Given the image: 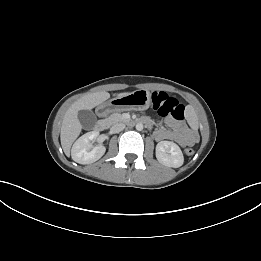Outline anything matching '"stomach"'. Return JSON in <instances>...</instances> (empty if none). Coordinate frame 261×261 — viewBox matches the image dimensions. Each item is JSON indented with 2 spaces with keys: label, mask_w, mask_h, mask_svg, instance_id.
<instances>
[{
  "label": "stomach",
  "mask_w": 261,
  "mask_h": 261,
  "mask_svg": "<svg viewBox=\"0 0 261 261\" xmlns=\"http://www.w3.org/2000/svg\"><path fill=\"white\" fill-rule=\"evenodd\" d=\"M151 104V93L146 89H140L123 96L104 102L98 109L106 115L117 111L146 110Z\"/></svg>",
  "instance_id": "1"
}]
</instances>
